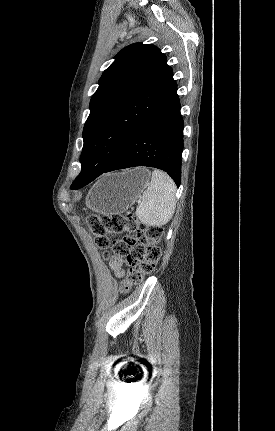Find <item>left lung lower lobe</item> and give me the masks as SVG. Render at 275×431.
<instances>
[{
  "instance_id": "0a47b994",
  "label": "left lung lower lobe",
  "mask_w": 275,
  "mask_h": 431,
  "mask_svg": "<svg viewBox=\"0 0 275 431\" xmlns=\"http://www.w3.org/2000/svg\"><path fill=\"white\" fill-rule=\"evenodd\" d=\"M180 109L176 84L174 90L115 161L96 174L80 173L71 185V189H80L105 172L134 166H150L162 169L179 186L184 128Z\"/></svg>"
}]
</instances>
